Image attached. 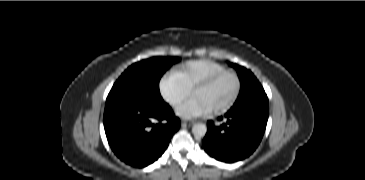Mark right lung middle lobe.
<instances>
[{
	"label": "right lung middle lobe",
	"mask_w": 365,
	"mask_h": 180,
	"mask_svg": "<svg viewBox=\"0 0 365 180\" xmlns=\"http://www.w3.org/2000/svg\"><path fill=\"white\" fill-rule=\"evenodd\" d=\"M177 58L154 57L130 66L115 82L106 105L130 98L162 99L159 81Z\"/></svg>",
	"instance_id": "dd1d6c3e"
}]
</instances>
